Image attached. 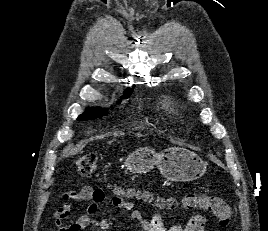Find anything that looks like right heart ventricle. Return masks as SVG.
I'll return each mask as SVG.
<instances>
[{
  "mask_svg": "<svg viewBox=\"0 0 268 231\" xmlns=\"http://www.w3.org/2000/svg\"><path fill=\"white\" fill-rule=\"evenodd\" d=\"M159 110L165 119L173 122L182 121L184 118L183 111L171 102L163 101L160 103Z\"/></svg>",
  "mask_w": 268,
  "mask_h": 231,
  "instance_id": "right-heart-ventricle-1",
  "label": "right heart ventricle"
}]
</instances>
